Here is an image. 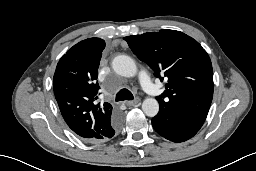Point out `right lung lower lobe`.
Instances as JSON below:
<instances>
[{"label":"right lung lower lobe","mask_w":256,"mask_h":171,"mask_svg":"<svg viewBox=\"0 0 256 171\" xmlns=\"http://www.w3.org/2000/svg\"><path fill=\"white\" fill-rule=\"evenodd\" d=\"M120 124H121V118H120L119 115H116V116L112 119V121H111V126H110V127H111V133H112V134H111L110 138H112V137L114 136L115 131L119 129Z\"/></svg>","instance_id":"98d812e1"}]
</instances>
